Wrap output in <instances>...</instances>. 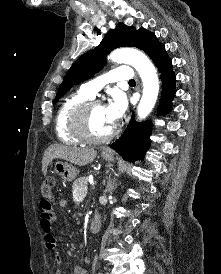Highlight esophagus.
Returning <instances> with one entry per match:
<instances>
[{
  "instance_id": "34e87169",
  "label": "esophagus",
  "mask_w": 221,
  "mask_h": 274,
  "mask_svg": "<svg viewBox=\"0 0 221 274\" xmlns=\"http://www.w3.org/2000/svg\"><path fill=\"white\" fill-rule=\"evenodd\" d=\"M104 151L107 152V153H111L110 149H105Z\"/></svg>"
}]
</instances>
